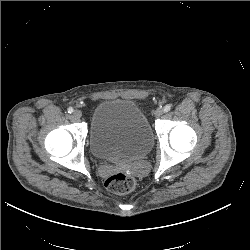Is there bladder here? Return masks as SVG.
Masks as SVG:
<instances>
[{
	"label": "bladder",
	"mask_w": 250,
	"mask_h": 250,
	"mask_svg": "<svg viewBox=\"0 0 250 250\" xmlns=\"http://www.w3.org/2000/svg\"><path fill=\"white\" fill-rule=\"evenodd\" d=\"M88 142L95 158L129 163L149 153L153 132L146 114L134 101L106 99L93 109Z\"/></svg>",
	"instance_id": "1"
}]
</instances>
